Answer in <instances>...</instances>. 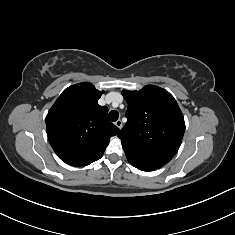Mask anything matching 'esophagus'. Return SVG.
Wrapping results in <instances>:
<instances>
[{
	"instance_id": "obj_1",
	"label": "esophagus",
	"mask_w": 235,
	"mask_h": 235,
	"mask_svg": "<svg viewBox=\"0 0 235 235\" xmlns=\"http://www.w3.org/2000/svg\"><path fill=\"white\" fill-rule=\"evenodd\" d=\"M115 125L119 128V129H121L122 128V121L119 119V120H117L116 122H115Z\"/></svg>"
}]
</instances>
